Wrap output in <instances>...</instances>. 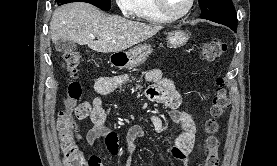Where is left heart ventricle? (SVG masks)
Masks as SVG:
<instances>
[{"label":"left heart ventricle","instance_id":"1","mask_svg":"<svg viewBox=\"0 0 277 166\" xmlns=\"http://www.w3.org/2000/svg\"><path fill=\"white\" fill-rule=\"evenodd\" d=\"M165 2L168 10L177 14L186 8L188 0H165Z\"/></svg>","mask_w":277,"mask_h":166}]
</instances>
